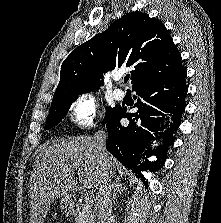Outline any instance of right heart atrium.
<instances>
[{"label":"right heart atrium","instance_id":"right-heart-atrium-1","mask_svg":"<svg viewBox=\"0 0 221 223\" xmlns=\"http://www.w3.org/2000/svg\"><path fill=\"white\" fill-rule=\"evenodd\" d=\"M99 119V103L93 95L83 93L70 101L67 121L72 128L82 131L91 128Z\"/></svg>","mask_w":221,"mask_h":223}]
</instances>
